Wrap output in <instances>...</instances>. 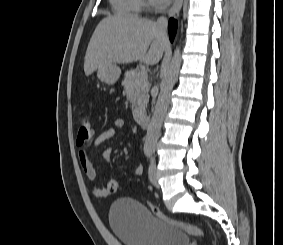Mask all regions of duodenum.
<instances>
[{
  "instance_id": "duodenum-1",
  "label": "duodenum",
  "mask_w": 283,
  "mask_h": 245,
  "mask_svg": "<svg viewBox=\"0 0 283 245\" xmlns=\"http://www.w3.org/2000/svg\"><path fill=\"white\" fill-rule=\"evenodd\" d=\"M137 122L142 128H147L150 123V118L146 115L137 116Z\"/></svg>"
}]
</instances>
